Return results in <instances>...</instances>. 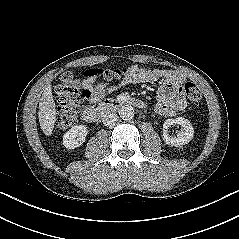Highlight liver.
Listing matches in <instances>:
<instances>
[{"instance_id": "obj_1", "label": "liver", "mask_w": 239, "mask_h": 239, "mask_svg": "<svg viewBox=\"0 0 239 239\" xmlns=\"http://www.w3.org/2000/svg\"><path fill=\"white\" fill-rule=\"evenodd\" d=\"M38 117L43 133L46 136H50L56 122V109L51 85H48L44 89L42 97L40 98Z\"/></svg>"}]
</instances>
